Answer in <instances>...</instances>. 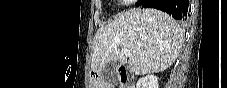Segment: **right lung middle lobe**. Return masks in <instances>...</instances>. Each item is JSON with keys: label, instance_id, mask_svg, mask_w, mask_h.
Segmentation results:
<instances>
[{"label": "right lung middle lobe", "instance_id": "1", "mask_svg": "<svg viewBox=\"0 0 227 88\" xmlns=\"http://www.w3.org/2000/svg\"><path fill=\"white\" fill-rule=\"evenodd\" d=\"M140 2H141V0H139V1L136 3V5H138Z\"/></svg>", "mask_w": 227, "mask_h": 88}]
</instances>
